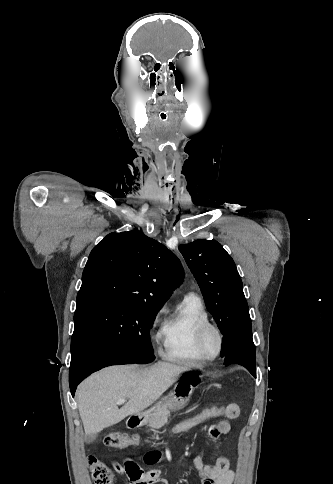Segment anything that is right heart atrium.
<instances>
[{
	"label": "right heart atrium",
	"instance_id": "d8ad5b80",
	"mask_svg": "<svg viewBox=\"0 0 333 484\" xmlns=\"http://www.w3.org/2000/svg\"><path fill=\"white\" fill-rule=\"evenodd\" d=\"M161 312H162V310H159V311H158V312H157V313H156V314L153 316V318H152V320H151V323H150V327H151V329H153V328L156 326V324H157V322H158V320H159V316H160V313H161Z\"/></svg>",
	"mask_w": 333,
	"mask_h": 484
}]
</instances>
